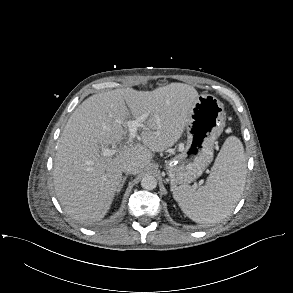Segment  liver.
Instances as JSON below:
<instances>
[{
  "instance_id": "liver-1",
  "label": "liver",
  "mask_w": 293,
  "mask_h": 293,
  "mask_svg": "<svg viewBox=\"0 0 293 293\" xmlns=\"http://www.w3.org/2000/svg\"><path fill=\"white\" fill-rule=\"evenodd\" d=\"M198 96L190 85L171 83L153 91L115 89L83 101L57 144L53 181L64 211L82 223L100 221L123 181V165L132 163L133 174H138L155 152L172 147L182 136ZM130 114L134 119L148 114L140 132L142 143H122ZM117 145L114 157L101 154V149Z\"/></svg>"
}]
</instances>
